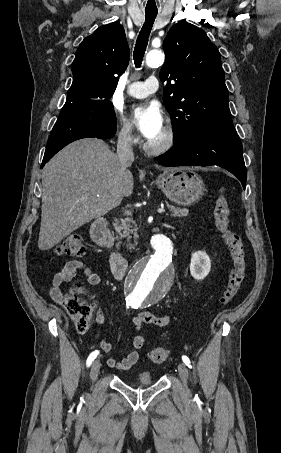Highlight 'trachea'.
<instances>
[{
	"label": "trachea",
	"mask_w": 281,
	"mask_h": 453,
	"mask_svg": "<svg viewBox=\"0 0 281 453\" xmlns=\"http://www.w3.org/2000/svg\"><path fill=\"white\" fill-rule=\"evenodd\" d=\"M156 16L157 13L146 12V19L138 35L133 54L134 62L137 68L141 66L144 53L146 51V47L148 44V38Z\"/></svg>",
	"instance_id": "trachea-1"
}]
</instances>
